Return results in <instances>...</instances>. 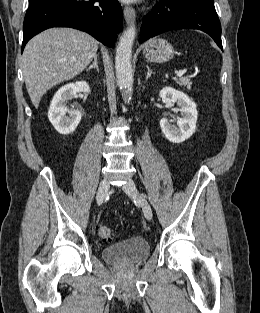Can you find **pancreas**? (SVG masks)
I'll return each mask as SVG.
<instances>
[{
  "label": "pancreas",
  "instance_id": "obj_1",
  "mask_svg": "<svg viewBox=\"0 0 260 313\" xmlns=\"http://www.w3.org/2000/svg\"><path fill=\"white\" fill-rule=\"evenodd\" d=\"M177 83L180 86L186 87L187 89L191 88V82L190 79H188L187 77H181L179 78V80L177 81Z\"/></svg>",
  "mask_w": 260,
  "mask_h": 313
}]
</instances>
